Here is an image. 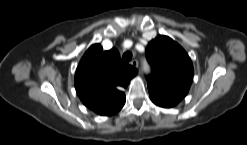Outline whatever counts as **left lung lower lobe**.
<instances>
[{
    "instance_id": "left-lung-lower-lobe-1",
    "label": "left lung lower lobe",
    "mask_w": 247,
    "mask_h": 145,
    "mask_svg": "<svg viewBox=\"0 0 247 145\" xmlns=\"http://www.w3.org/2000/svg\"><path fill=\"white\" fill-rule=\"evenodd\" d=\"M149 95L154 104L164 108L173 107L181 100L178 97L154 89H149Z\"/></svg>"
}]
</instances>
